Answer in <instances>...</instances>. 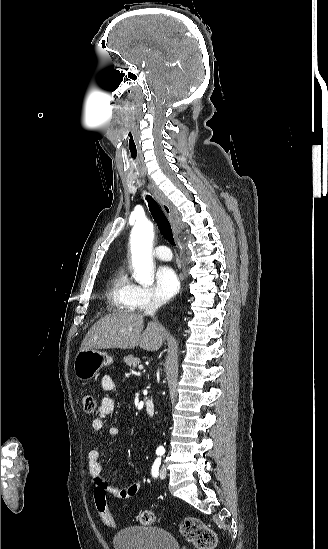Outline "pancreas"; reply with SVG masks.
I'll list each match as a JSON object with an SVG mask.
<instances>
[{"label": "pancreas", "mask_w": 328, "mask_h": 549, "mask_svg": "<svg viewBox=\"0 0 328 549\" xmlns=\"http://www.w3.org/2000/svg\"><path fill=\"white\" fill-rule=\"evenodd\" d=\"M123 361L128 367H137V365H140L141 363V361H139L137 357H133V355H127V357H124Z\"/></svg>", "instance_id": "cf45deb5"}]
</instances>
